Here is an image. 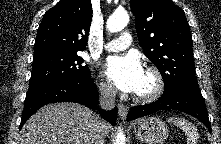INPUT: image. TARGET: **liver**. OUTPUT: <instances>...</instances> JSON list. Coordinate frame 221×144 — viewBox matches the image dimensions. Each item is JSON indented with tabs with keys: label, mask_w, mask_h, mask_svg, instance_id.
Wrapping results in <instances>:
<instances>
[{
	"label": "liver",
	"mask_w": 221,
	"mask_h": 144,
	"mask_svg": "<svg viewBox=\"0 0 221 144\" xmlns=\"http://www.w3.org/2000/svg\"><path fill=\"white\" fill-rule=\"evenodd\" d=\"M98 117L76 103H54L39 109L23 126L19 144H91ZM105 135L109 125L103 122Z\"/></svg>",
	"instance_id": "6515ba94"
}]
</instances>
